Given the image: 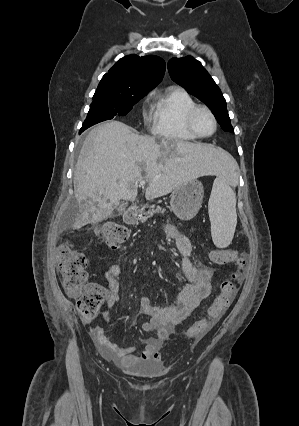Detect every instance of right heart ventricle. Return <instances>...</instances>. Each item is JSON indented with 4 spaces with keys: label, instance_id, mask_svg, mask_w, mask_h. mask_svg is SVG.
<instances>
[{
    "label": "right heart ventricle",
    "instance_id": "right-heart-ventricle-1",
    "mask_svg": "<svg viewBox=\"0 0 299 426\" xmlns=\"http://www.w3.org/2000/svg\"><path fill=\"white\" fill-rule=\"evenodd\" d=\"M196 105L183 88L170 86L160 93L153 109L152 131L155 135L173 141H193L185 123L186 115Z\"/></svg>",
    "mask_w": 299,
    "mask_h": 426
}]
</instances>
